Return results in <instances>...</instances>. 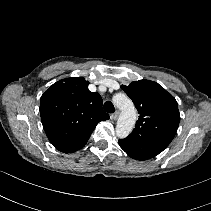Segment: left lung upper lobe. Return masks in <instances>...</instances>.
<instances>
[{
    "mask_svg": "<svg viewBox=\"0 0 211 211\" xmlns=\"http://www.w3.org/2000/svg\"><path fill=\"white\" fill-rule=\"evenodd\" d=\"M121 88L134 102L139 119L120 147L133 159L147 160L161 153L173 140L180 114L175 98L150 80L132 82Z\"/></svg>",
    "mask_w": 211,
    "mask_h": 211,
    "instance_id": "1",
    "label": "left lung upper lobe"
}]
</instances>
